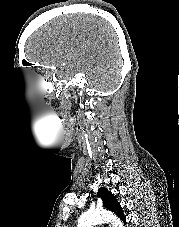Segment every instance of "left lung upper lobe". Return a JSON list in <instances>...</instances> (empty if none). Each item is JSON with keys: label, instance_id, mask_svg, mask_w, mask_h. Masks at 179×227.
<instances>
[{"label": "left lung upper lobe", "instance_id": "1", "mask_svg": "<svg viewBox=\"0 0 179 227\" xmlns=\"http://www.w3.org/2000/svg\"><path fill=\"white\" fill-rule=\"evenodd\" d=\"M97 197H100L103 201L104 207L114 212L125 221V216L122 210V207L117 202L115 196L109 192L106 188H100L97 192Z\"/></svg>", "mask_w": 179, "mask_h": 227}]
</instances>
